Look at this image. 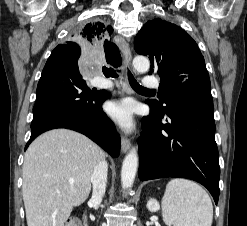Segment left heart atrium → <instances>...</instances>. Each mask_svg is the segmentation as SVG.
<instances>
[{"label": "left heart atrium", "mask_w": 247, "mask_h": 226, "mask_svg": "<svg viewBox=\"0 0 247 226\" xmlns=\"http://www.w3.org/2000/svg\"><path fill=\"white\" fill-rule=\"evenodd\" d=\"M108 113L122 128L131 129L133 125V107L128 100L114 101L108 106Z\"/></svg>", "instance_id": "left-heart-atrium-1"}]
</instances>
